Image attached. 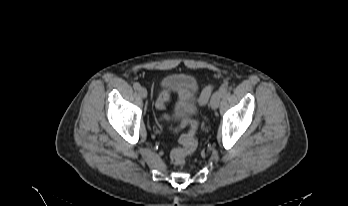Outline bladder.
Masks as SVG:
<instances>
[{"mask_svg":"<svg viewBox=\"0 0 348 206\" xmlns=\"http://www.w3.org/2000/svg\"><path fill=\"white\" fill-rule=\"evenodd\" d=\"M161 85L178 96V101L172 110L173 118L189 116L196 112L198 82L193 76L168 74L161 79Z\"/></svg>","mask_w":348,"mask_h":206,"instance_id":"31cf9c89","label":"bladder"}]
</instances>
